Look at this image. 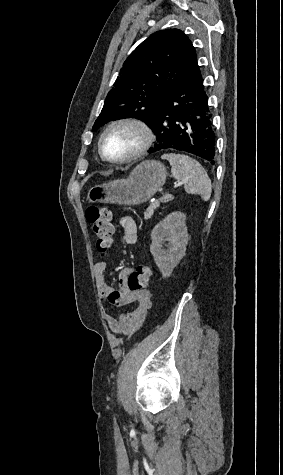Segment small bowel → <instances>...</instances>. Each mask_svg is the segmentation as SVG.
Listing matches in <instances>:
<instances>
[{"label":"small bowel","mask_w":283,"mask_h":475,"mask_svg":"<svg viewBox=\"0 0 283 475\" xmlns=\"http://www.w3.org/2000/svg\"><path fill=\"white\" fill-rule=\"evenodd\" d=\"M119 225L122 229L123 242L127 245L135 244L138 240L136 221L130 216H123L119 220ZM129 269L130 267H124L120 270V282H125ZM105 272V262L95 263L93 273L102 317L112 333L131 336L141 328L152 307L151 292L149 290L140 291L139 296H122L120 289H115L109 285ZM131 303H136L135 308L131 311L120 313L117 317L108 312V308L111 305L123 306Z\"/></svg>","instance_id":"small-bowel-1"}]
</instances>
